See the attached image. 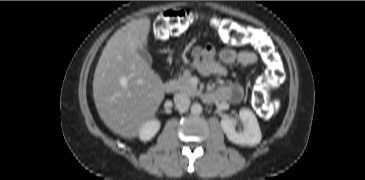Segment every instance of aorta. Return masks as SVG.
Here are the masks:
<instances>
[{
    "label": "aorta",
    "instance_id": "1",
    "mask_svg": "<svg viewBox=\"0 0 365 180\" xmlns=\"http://www.w3.org/2000/svg\"><path fill=\"white\" fill-rule=\"evenodd\" d=\"M191 113L192 114H195V115H199L202 113V106L201 104L199 103H194L192 106H191Z\"/></svg>",
    "mask_w": 365,
    "mask_h": 180
}]
</instances>
